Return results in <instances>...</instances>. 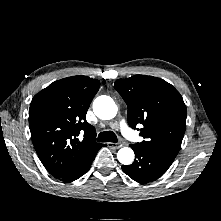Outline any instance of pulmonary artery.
Listing matches in <instances>:
<instances>
[{
	"label": "pulmonary artery",
	"mask_w": 221,
	"mask_h": 221,
	"mask_svg": "<svg viewBox=\"0 0 221 221\" xmlns=\"http://www.w3.org/2000/svg\"><path fill=\"white\" fill-rule=\"evenodd\" d=\"M119 128H120L121 132H122L126 137H129V138H130V135L128 134V132H129L130 129H129V127H128V125H127V123H126L125 120L120 121V123H119Z\"/></svg>",
	"instance_id": "obj_1"
}]
</instances>
